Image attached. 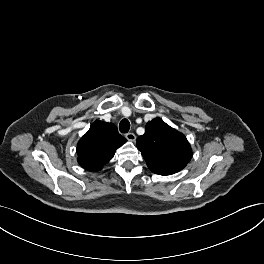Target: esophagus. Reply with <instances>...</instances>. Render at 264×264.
Listing matches in <instances>:
<instances>
[{
  "instance_id": "obj_1",
  "label": "esophagus",
  "mask_w": 264,
  "mask_h": 264,
  "mask_svg": "<svg viewBox=\"0 0 264 264\" xmlns=\"http://www.w3.org/2000/svg\"><path fill=\"white\" fill-rule=\"evenodd\" d=\"M125 137H126V139H127L128 141H132V142L135 141V139H136L135 134L132 133V132L127 133Z\"/></svg>"
}]
</instances>
